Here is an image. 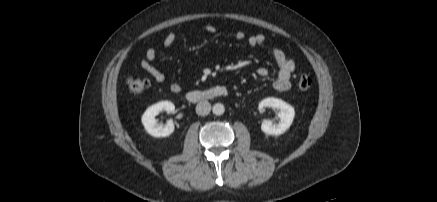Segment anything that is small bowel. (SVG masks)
I'll return each mask as SVG.
<instances>
[{
  "mask_svg": "<svg viewBox=\"0 0 437 202\" xmlns=\"http://www.w3.org/2000/svg\"><path fill=\"white\" fill-rule=\"evenodd\" d=\"M205 31L213 34L216 32V27L213 25H207ZM237 40H244L246 35L242 31L235 33ZM176 40V34L169 32L163 39V47L170 48ZM247 43L251 47H261L266 43V37L263 34L251 35L247 38ZM271 54L278 66V72L276 79L273 82V87L278 92L288 91L291 87V77L295 70V62L289 58L281 49L272 47ZM158 55L157 50L154 47L148 48L144 57L141 59L140 65L157 83H163L165 81V75L154 65ZM257 74L260 77H266L269 74V70L265 67H261L257 70ZM170 90L173 93H180L182 88L178 83H172Z\"/></svg>",
  "mask_w": 437,
  "mask_h": 202,
  "instance_id": "1",
  "label": "small bowel"
}]
</instances>
